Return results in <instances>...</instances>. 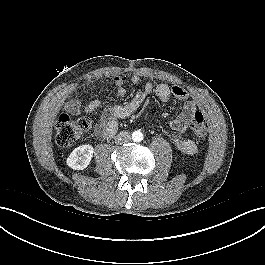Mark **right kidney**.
<instances>
[{
  "label": "right kidney",
  "instance_id": "right-kidney-1",
  "mask_svg": "<svg viewBox=\"0 0 265 265\" xmlns=\"http://www.w3.org/2000/svg\"><path fill=\"white\" fill-rule=\"evenodd\" d=\"M94 148L89 144L75 148L67 158V165L74 170H83L91 162Z\"/></svg>",
  "mask_w": 265,
  "mask_h": 265
}]
</instances>
